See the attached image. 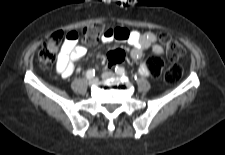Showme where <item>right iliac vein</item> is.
<instances>
[{"label":"right iliac vein","instance_id":"1","mask_svg":"<svg viewBox=\"0 0 225 155\" xmlns=\"http://www.w3.org/2000/svg\"><path fill=\"white\" fill-rule=\"evenodd\" d=\"M97 83V78H91L90 80H89V85H94V84H96Z\"/></svg>","mask_w":225,"mask_h":155}]
</instances>
